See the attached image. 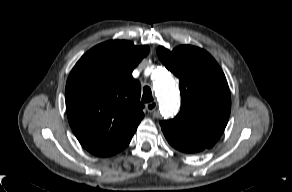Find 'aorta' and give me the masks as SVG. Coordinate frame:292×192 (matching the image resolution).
Listing matches in <instances>:
<instances>
[{
  "mask_svg": "<svg viewBox=\"0 0 292 192\" xmlns=\"http://www.w3.org/2000/svg\"><path fill=\"white\" fill-rule=\"evenodd\" d=\"M152 78L163 114L166 116L174 115L178 111L180 97L170 72L163 67H159L153 73Z\"/></svg>",
  "mask_w": 292,
  "mask_h": 192,
  "instance_id": "aorta-1",
  "label": "aorta"
}]
</instances>
